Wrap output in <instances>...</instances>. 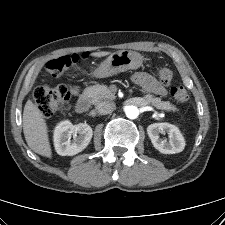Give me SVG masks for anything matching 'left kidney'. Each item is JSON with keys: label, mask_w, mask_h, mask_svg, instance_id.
Returning a JSON list of instances; mask_svg holds the SVG:
<instances>
[{"label": "left kidney", "mask_w": 225, "mask_h": 225, "mask_svg": "<svg viewBox=\"0 0 225 225\" xmlns=\"http://www.w3.org/2000/svg\"><path fill=\"white\" fill-rule=\"evenodd\" d=\"M147 133L153 146L163 154H175L183 151L185 141L179 129L169 123H154L147 127ZM168 133L169 141L160 139L159 134Z\"/></svg>", "instance_id": "5707ae66"}]
</instances>
